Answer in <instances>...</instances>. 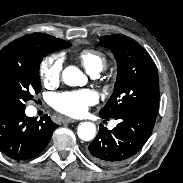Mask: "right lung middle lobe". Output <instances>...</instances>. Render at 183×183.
<instances>
[{"instance_id": "1", "label": "right lung middle lobe", "mask_w": 183, "mask_h": 183, "mask_svg": "<svg viewBox=\"0 0 183 183\" xmlns=\"http://www.w3.org/2000/svg\"><path fill=\"white\" fill-rule=\"evenodd\" d=\"M47 54L43 50H33L21 62L0 64V109L24 107L33 98V93L41 91L39 67Z\"/></svg>"}]
</instances>
